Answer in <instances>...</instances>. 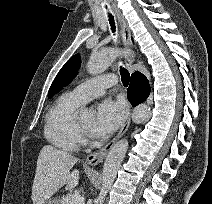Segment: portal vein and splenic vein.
<instances>
[{"mask_svg": "<svg viewBox=\"0 0 212 204\" xmlns=\"http://www.w3.org/2000/svg\"><path fill=\"white\" fill-rule=\"evenodd\" d=\"M70 204H84V198L79 194H74L70 199Z\"/></svg>", "mask_w": 212, "mask_h": 204, "instance_id": "portal-vein-and-splenic-vein-1", "label": "portal vein and splenic vein"}]
</instances>
